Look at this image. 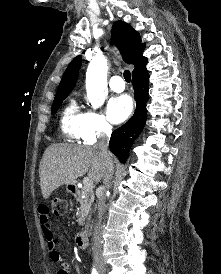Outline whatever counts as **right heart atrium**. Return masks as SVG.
<instances>
[{
    "mask_svg": "<svg viewBox=\"0 0 221 274\" xmlns=\"http://www.w3.org/2000/svg\"><path fill=\"white\" fill-rule=\"evenodd\" d=\"M112 131L111 125L98 111L88 110L83 113L81 122V139L91 144L108 136Z\"/></svg>",
    "mask_w": 221,
    "mask_h": 274,
    "instance_id": "obj_1",
    "label": "right heart atrium"
}]
</instances>
